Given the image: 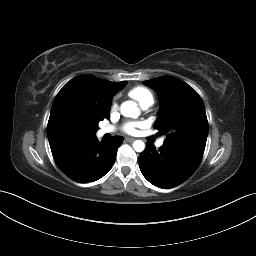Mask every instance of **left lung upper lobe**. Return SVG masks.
Masks as SVG:
<instances>
[{"instance_id": "obj_1", "label": "left lung upper lobe", "mask_w": 256, "mask_h": 256, "mask_svg": "<svg viewBox=\"0 0 256 256\" xmlns=\"http://www.w3.org/2000/svg\"><path fill=\"white\" fill-rule=\"evenodd\" d=\"M143 84L154 88L160 97L161 109L154 128L167 135L163 146L201 161L208 121L198 93L172 76L157 77Z\"/></svg>"}]
</instances>
